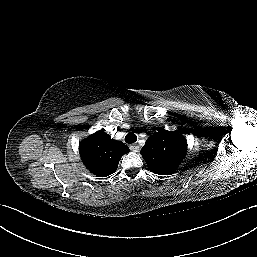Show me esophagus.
Wrapping results in <instances>:
<instances>
[{
    "instance_id": "obj_1",
    "label": "esophagus",
    "mask_w": 257,
    "mask_h": 257,
    "mask_svg": "<svg viewBox=\"0 0 257 257\" xmlns=\"http://www.w3.org/2000/svg\"><path fill=\"white\" fill-rule=\"evenodd\" d=\"M130 150L133 152H138L139 151V146L137 144H131L129 146Z\"/></svg>"
}]
</instances>
